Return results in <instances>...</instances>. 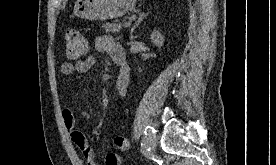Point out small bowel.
<instances>
[{"instance_id":"obj_1","label":"small bowel","mask_w":276,"mask_h":165,"mask_svg":"<svg viewBox=\"0 0 276 165\" xmlns=\"http://www.w3.org/2000/svg\"><path fill=\"white\" fill-rule=\"evenodd\" d=\"M96 47L99 51L106 52L113 61L118 60L120 62L119 74L116 80V90L120 97H125L129 87L130 70L126 61V54L123 46L116 43L111 36L102 35L96 39ZM94 64V57L88 56L75 62H63L60 66V71L66 76L71 75L74 72L85 73L90 70ZM62 117L71 141L81 151L86 165H99L96 161L93 149L89 145L84 134L76 126L73 112L70 109L65 108L62 111ZM105 164L120 165V157L116 154H109L106 157Z\"/></svg>"}]
</instances>
